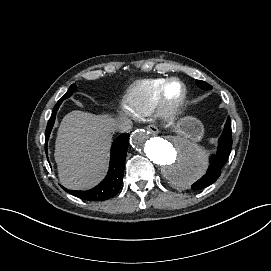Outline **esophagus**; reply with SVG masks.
<instances>
[{"label":"esophagus","instance_id":"1","mask_svg":"<svg viewBox=\"0 0 271 271\" xmlns=\"http://www.w3.org/2000/svg\"><path fill=\"white\" fill-rule=\"evenodd\" d=\"M147 131L150 132L152 135H156L159 133L157 126L150 124L146 127Z\"/></svg>","mask_w":271,"mask_h":271}]
</instances>
